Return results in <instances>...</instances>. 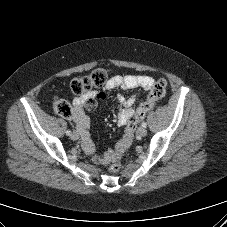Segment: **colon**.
<instances>
[{
	"mask_svg": "<svg viewBox=\"0 0 227 227\" xmlns=\"http://www.w3.org/2000/svg\"><path fill=\"white\" fill-rule=\"evenodd\" d=\"M108 79L109 70L98 68L89 75L79 76L72 79L70 82V88L74 94L83 95L90 92L93 88L104 86ZM166 88L167 82L164 79L157 80L153 84L146 101L137 109L131 121L138 122L142 120L146 113L153 108L155 103L165 95ZM53 109L55 113L64 118H69L73 114L71 105L62 98H56L53 101ZM121 168L122 162L119 157L115 158L109 165V170L113 173L119 172Z\"/></svg>",
	"mask_w": 227,
	"mask_h": 227,
	"instance_id": "1",
	"label": "colon"
}]
</instances>
